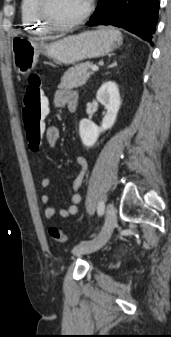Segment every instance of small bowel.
Returning <instances> with one entry per match:
<instances>
[{
    "mask_svg": "<svg viewBox=\"0 0 171 337\" xmlns=\"http://www.w3.org/2000/svg\"><path fill=\"white\" fill-rule=\"evenodd\" d=\"M78 101V94L75 91L68 89H58L53 95V105L55 108L67 107L69 110L70 106H75V108H77ZM45 136L48 144L50 146H55L60 139V129L54 125L47 126L45 129ZM75 162L80 168V171L72 182L71 204L65 208H56L51 205L53 200L49 194H43L41 196L42 203L48 205L44 212V216L47 220H53L56 215H59L62 218H69L78 213V205L81 202L79 190L88 170V162L83 156L76 157ZM40 185L44 189L48 188L50 185L49 178L43 177L40 180Z\"/></svg>",
    "mask_w": 171,
    "mask_h": 337,
    "instance_id": "obj_1",
    "label": "small bowel"
}]
</instances>
